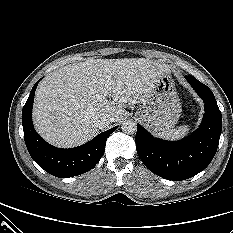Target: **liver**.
<instances>
[{"instance_id": "obj_1", "label": "liver", "mask_w": 233, "mask_h": 233, "mask_svg": "<svg viewBox=\"0 0 233 233\" xmlns=\"http://www.w3.org/2000/svg\"><path fill=\"white\" fill-rule=\"evenodd\" d=\"M164 73H168L165 65L145 58H91L64 66L38 85L35 127L55 146L82 145L98 134L99 116L107 114L114 122L121 120L127 114L125 107L145 103L151 97ZM107 81L112 82L109 94Z\"/></svg>"}]
</instances>
